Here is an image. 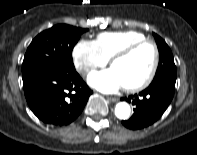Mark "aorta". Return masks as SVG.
Returning a JSON list of instances; mask_svg holds the SVG:
<instances>
[{
	"label": "aorta",
	"mask_w": 197,
	"mask_h": 155,
	"mask_svg": "<svg viewBox=\"0 0 197 155\" xmlns=\"http://www.w3.org/2000/svg\"><path fill=\"white\" fill-rule=\"evenodd\" d=\"M131 113V108L126 102H119L115 107V116L119 119H128Z\"/></svg>",
	"instance_id": "obj_1"
}]
</instances>
